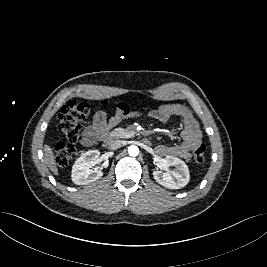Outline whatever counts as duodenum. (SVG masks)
Wrapping results in <instances>:
<instances>
[{"mask_svg":"<svg viewBox=\"0 0 267 267\" xmlns=\"http://www.w3.org/2000/svg\"><path fill=\"white\" fill-rule=\"evenodd\" d=\"M113 141H114V137H112V136H107V137L104 138V140H103V144H104V145H110ZM143 142H144L145 144H147V143H148V139H144Z\"/></svg>","mask_w":267,"mask_h":267,"instance_id":"1","label":"duodenum"}]
</instances>
